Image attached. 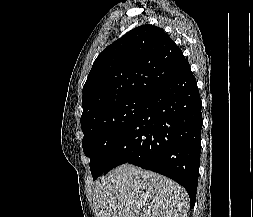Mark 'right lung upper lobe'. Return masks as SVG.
<instances>
[{
  "label": "right lung upper lobe",
  "mask_w": 253,
  "mask_h": 217,
  "mask_svg": "<svg viewBox=\"0 0 253 217\" xmlns=\"http://www.w3.org/2000/svg\"><path fill=\"white\" fill-rule=\"evenodd\" d=\"M187 62L162 28L145 24L129 31L94 61L83 86L81 124L121 100L148 98Z\"/></svg>",
  "instance_id": "right-lung-upper-lobe-1"
}]
</instances>
